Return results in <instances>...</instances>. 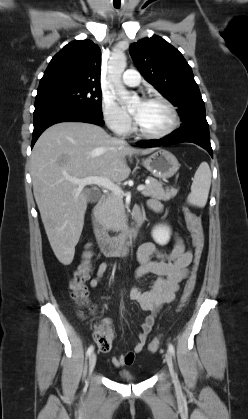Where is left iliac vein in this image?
<instances>
[{"label": "left iliac vein", "mask_w": 248, "mask_h": 419, "mask_svg": "<svg viewBox=\"0 0 248 419\" xmlns=\"http://www.w3.org/2000/svg\"><path fill=\"white\" fill-rule=\"evenodd\" d=\"M165 360H166V363H167V366L169 368V371H170V374H171L172 378H175L176 377V374H175L174 368H173L172 357H171V355H170L169 352H167L165 354Z\"/></svg>", "instance_id": "1"}]
</instances>
